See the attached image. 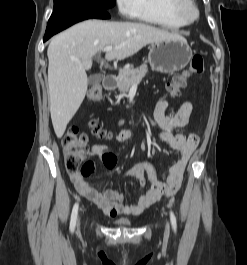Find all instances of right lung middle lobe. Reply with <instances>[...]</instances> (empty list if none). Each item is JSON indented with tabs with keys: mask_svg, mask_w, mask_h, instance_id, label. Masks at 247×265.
<instances>
[{
	"mask_svg": "<svg viewBox=\"0 0 247 265\" xmlns=\"http://www.w3.org/2000/svg\"><path fill=\"white\" fill-rule=\"evenodd\" d=\"M114 5V0H54L53 12L72 8H100L107 10Z\"/></svg>",
	"mask_w": 247,
	"mask_h": 265,
	"instance_id": "obj_1",
	"label": "right lung middle lobe"
}]
</instances>
